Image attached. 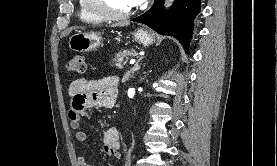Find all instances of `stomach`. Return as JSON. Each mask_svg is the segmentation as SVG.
I'll return each instance as SVG.
<instances>
[{"instance_id": "stomach-1", "label": "stomach", "mask_w": 277, "mask_h": 166, "mask_svg": "<svg viewBox=\"0 0 277 166\" xmlns=\"http://www.w3.org/2000/svg\"><path fill=\"white\" fill-rule=\"evenodd\" d=\"M134 40L138 43L149 46L155 41L153 35L144 29H137L133 33ZM102 43V36L99 32H78L69 39V47L76 52H89L95 50Z\"/></svg>"}]
</instances>
